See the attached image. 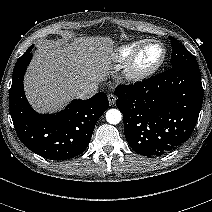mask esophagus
Wrapping results in <instances>:
<instances>
[{
	"label": "esophagus",
	"mask_w": 212,
	"mask_h": 212,
	"mask_svg": "<svg viewBox=\"0 0 212 212\" xmlns=\"http://www.w3.org/2000/svg\"><path fill=\"white\" fill-rule=\"evenodd\" d=\"M108 101H109L110 105H114L115 101H116V97L113 94H109Z\"/></svg>",
	"instance_id": "1"
}]
</instances>
